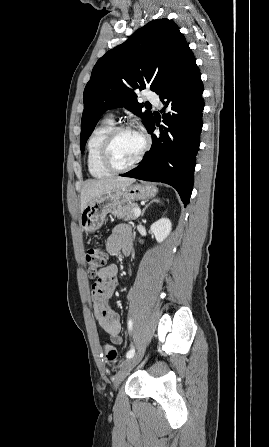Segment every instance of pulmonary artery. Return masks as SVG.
I'll use <instances>...</instances> for the list:
<instances>
[{"instance_id":"obj_1","label":"pulmonary artery","mask_w":269,"mask_h":447,"mask_svg":"<svg viewBox=\"0 0 269 447\" xmlns=\"http://www.w3.org/2000/svg\"><path fill=\"white\" fill-rule=\"evenodd\" d=\"M146 96H147L148 99L153 101L156 104L157 107L161 106V103H160L158 97H156L157 93H156L155 90H148L147 93H146Z\"/></svg>"}]
</instances>
